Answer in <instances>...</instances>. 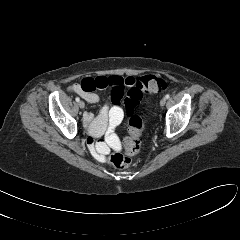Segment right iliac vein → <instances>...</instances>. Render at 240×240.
Returning a JSON list of instances; mask_svg holds the SVG:
<instances>
[{"mask_svg":"<svg viewBox=\"0 0 240 240\" xmlns=\"http://www.w3.org/2000/svg\"><path fill=\"white\" fill-rule=\"evenodd\" d=\"M79 107H80L81 109H83V108L85 107V103H84L83 101H80V102H79Z\"/></svg>","mask_w":240,"mask_h":240,"instance_id":"63e3f726","label":"right iliac vein"}]
</instances>
